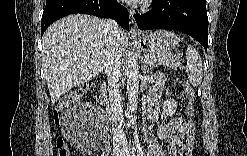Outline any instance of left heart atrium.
Instances as JSON below:
<instances>
[{"mask_svg": "<svg viewBox=\"0 0 247 156\" xmlns=\"http://www.w3.org/2000/svg\"><path fill=\"white\" fill-rule=\"evenodd\" d=\"M141 1H138V0H133V1H131V3H134V4H136V3H140Z\"/></svg>", "mask_w": 247, "mask_h": 156, "instance_id": "1", "label": "left heart atrium"}]
</instances>
